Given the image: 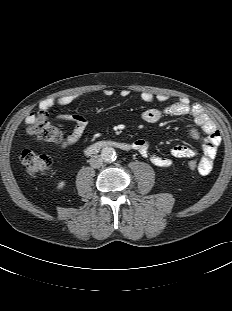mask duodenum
<instances>
[{
	"label": "duodenum",
	"instance_id": "1",
	"mask_svg": "<svg viewBox=\"0 0 232 311\" xmlns=\"http://www.w3.org/2000/svg\"><path fill=\"white\" fill-rule=\"evenodd\" d=\"M104 148H114L122 151H129L132 149V144L116 140H101L87 146L85 149V153L88 155H92Z\"/></svg>",
	"mask_w": 232,
	"mask_h": 311
}]
</instances>
